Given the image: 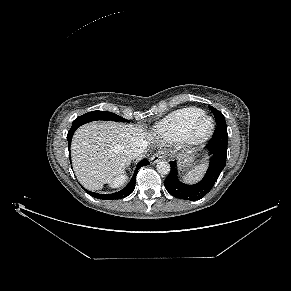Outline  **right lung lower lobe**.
Listing matches in <instances>:
<instances>
[{"mask_svg": "<svg viewBox=\"0 0 291 291\" xmlns=\"http://www.w3.org/2000/svg\"><path fill=\"white\" fill-rule=\"evenodd\" d=\"M79 127V125L77 124H72V127L71 129L69 130L68 134H67V140H68V143L70 145L71 143V138L75 132V130ZM149 164V161L144 159V160H141L138 164H137V168L135 170V173L131 179V181L129 182V184L124 188L122 189L121 191L119 192H116V193H112V194H99V193H95V192H91V191H88V190H85L88 194H90L91 196L95 197V198H98V199H104V200H114V199H121V198H124L128 195H130L134 188H135V184H136V174L138 172V170L142 167V166H145V165H148Z\"/></svg>", "mask_w": 291, "mask_h": 291, "instance_id": "1", "label": "right lung lower lobe"}]
</instances>
